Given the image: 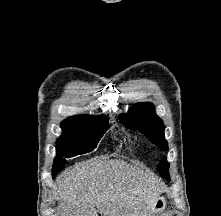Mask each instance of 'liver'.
Returning a JSON list of instances; mask_svg holds the SVG:
<instances>
[{"mask_svg":"<svg viewBox=\"0 0 221 216\" xmlns=\"http://www.w3.org/2000/svg\"><path fill=\"white\" fill-rule=\"evenodd\" d=\"M56 184L62 216H146L162 186L152 172L103 158L66 169Z\"/></svg>","mask_w":221,"mask_h":216,"instance_id":"liver-1","label":"liver"}]
</instances>
